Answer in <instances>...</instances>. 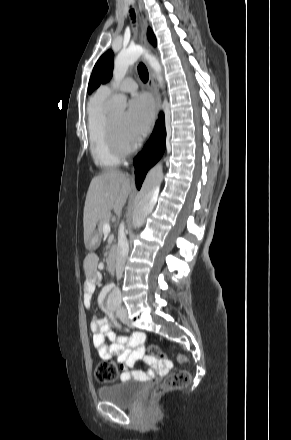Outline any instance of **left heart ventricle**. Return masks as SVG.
<instances>
[{
  "label": "left heart ventricle",
  "instance_id": "obj_1",
  "mask_svg": "<svg viewBox=\"0 0 291 440\" xmlns=\"http://www.w3.org/2000/svg\"><path fill=\"white\" fill-rule=\"evenodd\" d=\"M124 117H125L124 113H117L110 116L119 139L123 142L130 143L132 141L128 139L126 135L125 127H124Z\"/></svg>",
  "mask_w": 291,
  "mask_h": 440
}]
</instances>
